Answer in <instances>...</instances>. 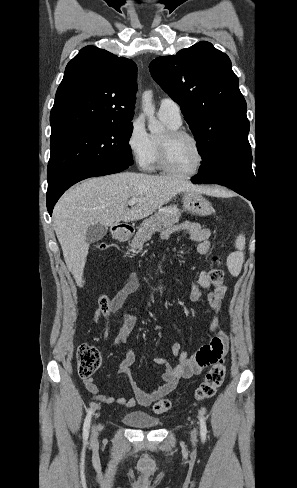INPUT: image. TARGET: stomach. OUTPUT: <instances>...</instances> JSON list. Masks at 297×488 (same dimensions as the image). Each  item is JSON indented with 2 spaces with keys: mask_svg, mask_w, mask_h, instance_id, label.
<instances>
[{
  "mask_svg": "<svg viewBox=\"0 0 297 488\" xmlns=\"http://www.w3.org/2000/svg\"><path fill=\"white\" fill-rule=\"evenodd\" d=\"M183 208L196 216H208L213 212L210 202L198 192H183Z\"/></svg>",
  "mask_w": 297,
  "mask_h": 488,
  "instance_id": "obj_1",
  "label": "stomach"
}]
</instances>
